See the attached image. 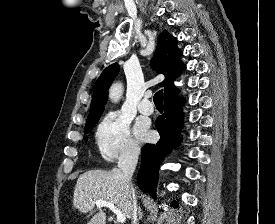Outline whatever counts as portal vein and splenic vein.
<instances>
[{"label": "portal vein and splenic vein", "mask_w": 275, "mask_h": 224, "mask_svg": "<svg viewBox=\"0 0 275 224\" xmlns=\"http://www.w3.org/2000/svg\"><path fill=\"white\" fill-rule=\"evenodd\" d=\"M95 204H96V206H97L98 208H100V207H107V208H109V209L116 215V219H117V222H118V223L123 224V223L126 221L125 215H124L122 212H120V211L115 207V205H114L113 203L108 202V201H103V200H97V201L95 202Z\"/></svg>", "instance_id": "1"}]
</instances>
